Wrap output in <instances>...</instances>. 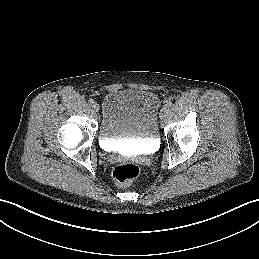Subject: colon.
<instances>
[{"label":"colon","mask_w":259,"mask_h":259,"mask_svg":"<svg viewBox=\"0 0 259 259\" xmlns=\"http://www.w3.org/2000/svg\"><path fill=\"white\" fill-rule=\"evenodd\" d=\"M140 171V167L137 164L123 162L114 167L112 177L117 186L128 187L139 178Z\"/></svg>","instance_id":"obj_1"}]
</instances>
